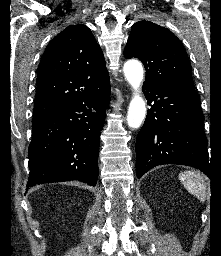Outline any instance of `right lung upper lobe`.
Instances as JSON below:
<instances>
[{
	"label": "right lung upper lobe",
	"mask_w": 221,
	"mask_h": 256,
	"mask_svg": "<svg viewBox=\"0 0 221 256\" xmlns=\"http://www.w3.org/2000/svg\"><path fill=\"white\" fill-rule=\"evenodd\" d=\"M109 85L104 55L91 30L83 24L68 26L50 41L41 58L33 117Z\"/></svg>",
	"instance_id": "cb5924a9"
}]
</instances>
